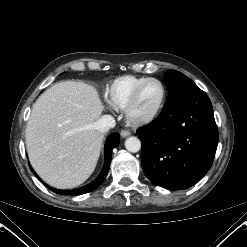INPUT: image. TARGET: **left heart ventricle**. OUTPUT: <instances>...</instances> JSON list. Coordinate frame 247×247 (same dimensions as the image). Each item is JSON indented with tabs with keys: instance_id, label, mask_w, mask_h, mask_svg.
<instances>
[{
	"instance_id": "obj_1",
	"label": "left heart ventricle",
	"mask_w": 247,
	"mask_h": 247,
	"mask_svg": "<svg viewBox=\"0 0 247 247\" xmlns=\"http://www.w3.org/2000/svg\"><path fill=\"white\" fill-rule=\"evenodd\" d=\"M161 97L162 88L158 83L150 82L146 84L132 107V115L136 118L150 115L158 107Z\"/></svg>"
}]
</instances>
